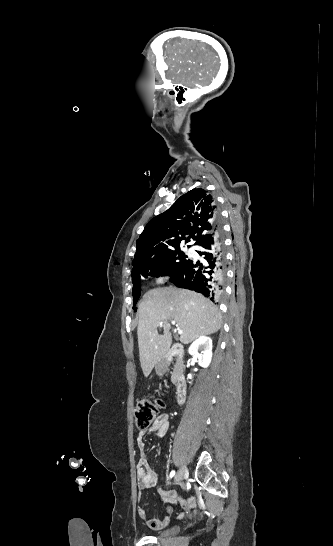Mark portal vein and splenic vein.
Returning <instances> with one entry per match:
<instances>
[{
	"label": "portal vein and splenic vein",
	"instance_id": "18ae733b",
	"mask_svg": "<svg viewBox=\"0 0 333 546\" xmlns=\"http://www.w3.org/2000/svg\"><path fill=\"white\" fill-rule=\"evenodd\" d=\"M171 323H172L173 325H175V324H176V322H175L174 320H172V321H171ZM159 326H160V327H162V326H163V323H160V325H159ZM178 333H179V334H182V333H183V331H182V330H178Z\"/></svg>",
	"mask_w": 333,
	"mask_h": 546
}]
</instances>
